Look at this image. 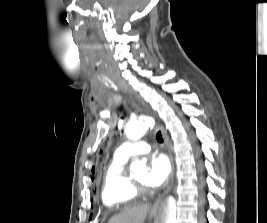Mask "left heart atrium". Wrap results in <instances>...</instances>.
Here are the masks:
<instances>
[{"label": "left heart atrium", "mask_w": 267, "mask_h": 223, "mask_svg": "<svg viewBox=\"0 0 267 223\" xmlns=\"http://www.w3.org/2000/svg\"><path fill=\"white\" fill-rule=\"evenodd\" d=\"M171 169V161L165 154L153 156L146 175V185L151 188L161 187L168 180Z\"/></svg>", "instance_id": "39dd6f15"}]
</instances>
